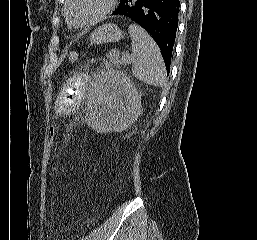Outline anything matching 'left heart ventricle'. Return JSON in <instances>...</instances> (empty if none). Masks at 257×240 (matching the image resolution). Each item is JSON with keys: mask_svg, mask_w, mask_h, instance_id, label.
<instances>
[{"mask_svg": "<svg viewBox=\"0 0 257 240\" xmlns=\"http://www.w3.org/2000/svg\"><path fill=\"white\" fill-rule=\"evenodd\" d=\"M107 0H73L69 7L71 20L76 24L87 22L106 5Z\"/></svg>", "mask_w": 257, "mask_h": 240, "instance_id": "left-heart-ventricle-1", "label": "left heart ventricle"}]
</instances>
